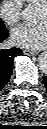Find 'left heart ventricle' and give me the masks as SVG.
Returning <instances> with one entry per match:
<instances>
[{
    "label": "left heart ventricle",
    "instance_id": "b2bd125f",
    "mask_svg": "<svg viewBox=\"0 0 47 129\" xmlns=\"http://www.w3.org/2000/svg\"><path fill=\"white\" fill-rule=\"evenodd\" d=\"M47 16V12L46 9L44 7H41L39 10V15H38V19L41 21H45Z\"/></svg>",
    "mask_w": 47,
    "mask_h": 129
}]
</instances>
